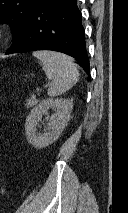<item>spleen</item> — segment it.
Here are the masks:
<instances>
[{"label": "spleen", "instance_id": "1", "mask_svg": "<svg viewBox=\"0 0 128 213\" xmlns=\"http://www.w3.org/2000/svg\"><path fill=\"white\" fill-rule=\"evenodd\" d=\"M33 55L42 62L43 70L51 80L50 97L65 93L77 83L79 72L71 57L54 51H34Z\"/></svg>", "mask_w": 128, "mask_h": 213}]
</instances>
